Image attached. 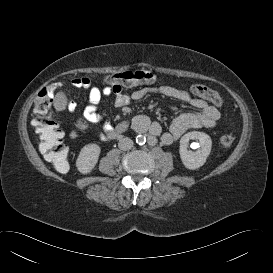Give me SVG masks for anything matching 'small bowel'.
<instances>
[{
  "mask_svg": "<svg viewBox=\"0 0 273 273\" xmlns=\"http://www.w3.org/2000/svg\"><path fill=\"white\" fill-rule=\"evenodd\" d=\"M70 84L73 87L88 91V104L83 111V117L93 124L98 123L103 119L100 104L104 96L114 95V105L118 108L126 106L131 99L140 100L147 95H159L188 102L199 112L183 113L175 118L172 121L169 130L161 135V141L165 145L171 144L189 129L214 128L220 118L219 110L214 106L209 105L203 97L196 95L193 91V85L191 86L190 91L163 85L136 89L129 95L123 93L121 88L112 85H107L105 87L93 85L92 81L87 77L74 78L70 81ZM67 107L70 111H75L77 104L75 102H69ZM135 122L140 128H145L148 120L144 116H138L136 117ZM105 124V132H107L111 123L110 121H106ZM148 130L152 136H158L161 134V126L157 122L151 123ZM102 136L103 134L101 137Z\"/></svg>",
  "mask_w": 273,
  "mask_h": 273,
  "instance_id": "1",
  "label": "small bowel"
}]
</instances>
